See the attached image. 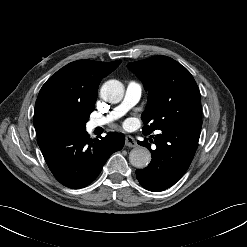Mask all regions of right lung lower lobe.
Wrapping results in <instances>:
<instances>
[{
  "mask_svg": "<svg viewBox=\"0 0 247 247\" xmlns=\"http://www.w3.org/2000/svg\"><path fill=\"white\" fill-rule=\"evenodd\" d=\"M37 142L55 178L66 187L79 189L96 179L111 154L123 148L125 138L117 132L94 140L86 129L47 130L37 133Z\"/></svg>",
  "mask_w": 247,
  "mask_h": 247,
  "instance_id": "obj_1",
  "label": "right lung lower lobe"
}]
</instances>
